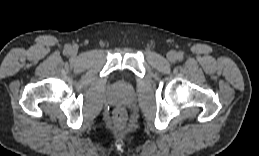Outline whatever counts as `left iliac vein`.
I'll list each match as a JSON object with an SVG mask.
<instances>
[{
  "label": "left iliac vein",
  "mask_w": 259,
  "mask_h": 156,
  "mask_svg": "<svg viewBox=\"0 0 259 156\" xmlns=\"http://www.w3.org/2000/svg\"><path fill=\"white\" fill-rule=\"evenodd\" d=\"M167 59H168L170 62L176 61V59H177V54H176V52H174V51L168 52V54H167Z\"/></svg>",
  "instance_id": "4c4485c4"
}]
</instances>
